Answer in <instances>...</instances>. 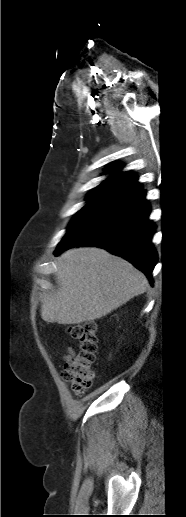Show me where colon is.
Instances as JSON below:
<instances>
[{"label":"colon","mask_w":186,"mask_h":517,"mask_svg":"<svg viewBox=\"0 0 186 517\" xmlns=\"http://www.w3.org/2000/svg\"><path fill=\"white\" fill-rule=\"evenodd\" d=\"M67 330L79 342V351L65 364L61 376L76 394L81 395L92 386L94 379L97 326L94 322H83L71 324Z\"/></svg>","instance_id":"obj_1"}]
</instances>
